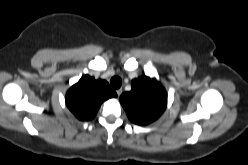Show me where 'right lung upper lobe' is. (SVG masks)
Returning a JSON list of instances; mask_svg holds the SVG:
<instances>
[{"label":"right lung upper lobe","mask_w":248,"mask_h":165,"mask_svg":"<svg viewBox=\"0 0 248 165\" xmlns=\"http://www.w3.org/2000/svg\"><path fill=\"white\" fill-rule=\"evenodd\" d=\"M116 96L105 80L85 75L68 90L66 105L79 120H90L103 101Z\"/></svg>","instance_id":"right-lung-upper-lobe-1"}]
</instances>
